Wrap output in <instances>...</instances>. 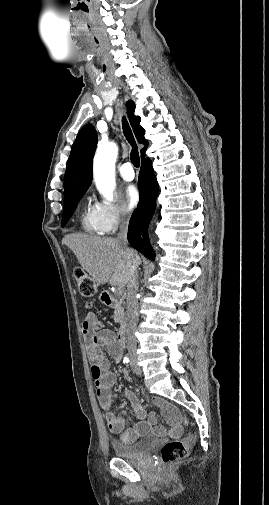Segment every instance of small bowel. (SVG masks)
Segmentation results:
<instances>
[{
	"instance_id": "1",
	"label": "small bowel",
	"mask_w": 269,
	"mask_h": 505,
	"mask_svg": "<svg viewBox=\"0 0 269 505\" xmlns=\"http://www.w3.org/2000/svg\"><path fill=\"white\" fill-rule=\"evenodd\" d=\"M92 320L93 315L89 314L81 323V331L87 341L88 356L91 363V375L95 383L99 403L107 419L109 430L113 434L118 435L120 439L126 443L134 442L139 437L150 432L160 436H180L183 432L181 414L173 404L163 398L154 397L152 403L162 410L170 425L169 429L158 426L155 415H147L140 405L137 396L128 390H123L121 395L129 401L139 422L127 428L126 418L122 415H117L112 410V401L115 396L112 392V387L115 382V375L109 369L110 364L107 357L104 355V351H107L115 361H120L123 348L118 343L113 332L109 330L91 332L88 328V324L91 323Z\"/></svg>"
}]
</instances>
